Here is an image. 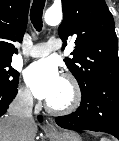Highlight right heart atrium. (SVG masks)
Segmentation results:
<instances>
[{"label":"right heart atrium","mask_w":119,"mask_h":141,"mask_svg":"<svg viewBox=\"0 0 119 141\" xmlns=\"http://www.w3.org/2000/svg\"><path fill=\"white\" fill-rule=\"evenodd\" d=\"M18 101L24 106H32L34 99L33 95L27 85H21L17 92Z\"/></svg>","instance_id":"d8ad5b80"}]
</instances>
